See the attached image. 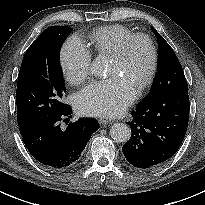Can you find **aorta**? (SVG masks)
I'll return each instance as SVG.
<instances>
[{
    "label": "aorta",
    "instance_id": "aorta-1",
    "mask_svg": "<svg viewBox=\"0 0 205 205\" xmlns=\"http://www.w3.org/2000/svg\"><path fill=\"white\" fill-rule=\"evenodd\" d=\"M105 62L97 58L92 64L91 70L97 76H103L106 74ZM110 136L118 143L127 142L131 136V130L128 125L124 123H115L110 128Z\"/></svg>",
    "mask_w": 205,
    "mask_h": 205
}]
</instances>
